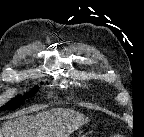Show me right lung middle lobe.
<instances>
[{
  "instance_id": "obj_1",
  "label": "right lung middle lobe",
  "mask_w": 144,
  "mask_h": 137,
  "mask_svg": "<svg viewBox=\"0 0 144 137\" xmlns=\"http://www.w3.org/2000/svg\"><path fill=\"white\" fill-rule=\"evenodd\" d=\"M38 87H35L32 89L29 93L24 94L23 96H18L15 99L8 102L5 106H2L0 110H7V109H13L18 107L19 105H22L25 101V99L30 98L32 95H34L38 91Z\"/></svg>"
}]
</instances>
